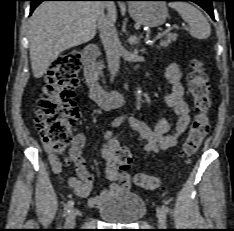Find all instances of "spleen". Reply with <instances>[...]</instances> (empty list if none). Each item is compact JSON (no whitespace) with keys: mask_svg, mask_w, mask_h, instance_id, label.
<instances>
[{"mask_svg":"<svg viewBox=\"0 0 234 231\" xmlns=\"http://www.w3.org/2000/svg\"><path fill=\"white\" fill-rule=\"evenodd\" d=\"M184 21L189 24V33L196 39H206L211 35V27L205 16L188 2H170Z\"/></svg>","mask_w":234,"mask_h":231,"instance_id":"3e777b00","label":"spleen"}]
</instances>
